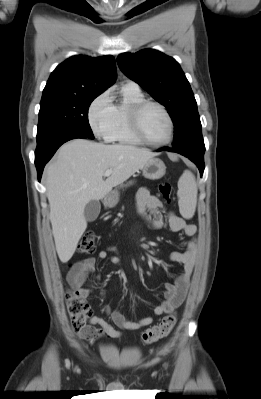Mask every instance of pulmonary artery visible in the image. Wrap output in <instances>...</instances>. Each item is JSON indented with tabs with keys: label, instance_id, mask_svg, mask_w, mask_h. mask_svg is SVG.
Wrapping results in <instances>:
<instances>
[{
	"label": "pulmonary artery",
	"instance_id": "1",
	"mask_svg": "<svg viewBox=\"0 0 261 399\" xmlns=\"http://www.w3.org/2000/svg\"><path fill=\"white\" fill-rule=\"evenodd\" d=\"M123 88L128 89V90H134V91H138L140 90L139 85L131 80H128L124 83Z\"/></svg>",
	"mask_w": 261,
	"mask_h": 399
}]
</instances>
